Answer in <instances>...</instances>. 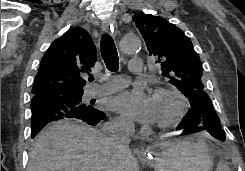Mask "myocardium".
I'll use <instances>...</instances> for the list:
<instances>
[{"label":"myocardium","instance_id":"obj_1","mask_svg":"<svg viewBox=\"0 0 245 171\" xmlns=\"http://www.w3.org/2000/svg\"><path fill=\"white\" fill-rule=\"evenodd\" d=\"M155 96L164 95L172 97L176 102V109L173 114L165 120L158 121L157 126L160 128H169L178 123L187 110V99L184 94L174 87H159L154 91Z\"/></svg>","mask_w":245,"mask_h":171}]
</instances>
